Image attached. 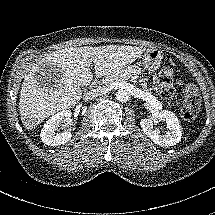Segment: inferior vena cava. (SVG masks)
<instances>
[{"label": "inferior vena cava", "mask_w": 215, "mask_h": 215, "mask_svg": "<svg viewBox=\"0 0 215 215\" xmlns=\"http://www.w3.org/2000/svg\"><path fill=\"white\" fill-rule=\"evenodd\" d=\"M105 87H96L95 89H92L90 91H87L83 96L84 99H95L97 97H101L105 92Z\"/></svg>", "instance_id": "obj_1"}]
</instances>
